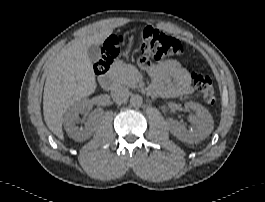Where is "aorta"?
<instances>
[{
  "label": "aorta",
  "mask_w": 265,
  "mask_h": 202,
  "mask_svg": "<svg viewBox=\"0 0 265 202\" xmlns=\"http://www.w3.org/2000/svg\"><path fill=\"white\" fill-rule=\"evenodd\" d=\"M143 104V98L138 95V94H135V95H132L131 98H130V105L132 107H141Z\"/></svg>",
  "instance_id": "aorta-1"
}]
</instances>
